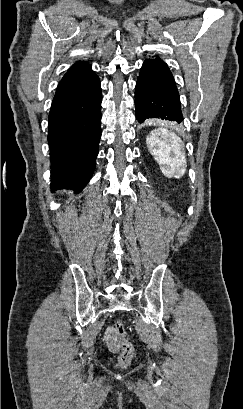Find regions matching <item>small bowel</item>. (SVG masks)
<instances>
[{
	"label": "small bowel",
	"instance_id": "c3829d8e",
	"mask_svg": "<svg viewBox=\"0 0 243 409\" xmlns=\"http://www.w3.org/2000/svg\"><path fill=\"white\" fill-rule=\"evenodd\" d=\"M103 342H104V345L107 347V349L112 352H118L120 350V346L115 336V330L113 326H109L105 330L104 336H103Z\"/></svg>",
	"mask_w": 243,
	"mask_h": 409
}]
</instances>
